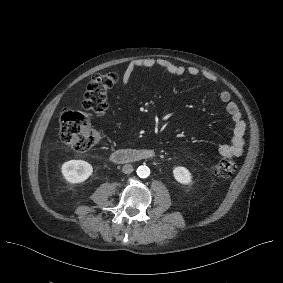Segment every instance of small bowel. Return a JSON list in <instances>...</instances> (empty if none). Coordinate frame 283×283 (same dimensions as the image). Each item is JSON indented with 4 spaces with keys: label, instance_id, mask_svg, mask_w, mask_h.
<instances>
[{
    "label": "small bowel",
    "instance_id": "small-bowel-1",
    "mask_svg": "<svg viewBox=\"0 0 283 283\" xmlns=\"http://www.w3.org/2000/svg\"><path fill=\"white\" fill-rule=\"evenodd\" d=\"M155 67H159L176 76L187 73L191 76H202L204 79L210 82L217 81V78L213 74L205 71L201 72L194 66L186 68L168 59L146 57L134 59L128 63L122 76L123 87L127 86L132 74L136 69ZM219 99L225 105L226 111L232 119L234 128L230 143L220 144L218 146V152L223 157H238L243 152L246 125L237 103L232 99L231 94L228 90L220 91Z\"/></svg>",
    "mask_w": 283,
    "mask_h": 283
}]
</instances>
